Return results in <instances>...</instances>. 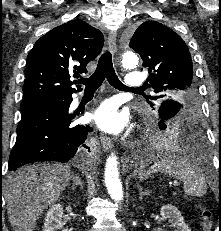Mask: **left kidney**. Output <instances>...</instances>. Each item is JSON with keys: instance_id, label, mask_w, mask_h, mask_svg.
<instances>
[{"instance_id": "obj_1", "label": "left kidney", "mask_w": 221, "mask_h": 231, "mask_svg": "<svg viewBox=\"0 0 221 231\" xmlns=\"http://www.w3.org/2000/svg\"><path fill=\"white\" fill-rule=\"evenodd\" d=\"M160 214L163 219H168L174 231H191L189 226L184 222L181 212L171 204L163 205Z\"/></svg>"}]
</instances>
